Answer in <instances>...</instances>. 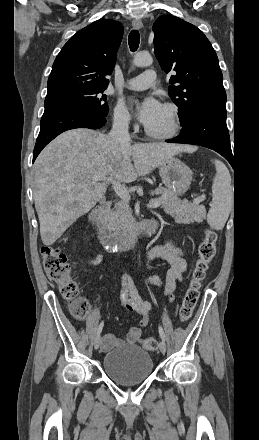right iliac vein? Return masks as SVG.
<instances>
[{
    "instance_id": "1",
    "label": "right iliac vein",
    "mask_w": 259,
    "mask_h": 440,
    "mask_svg": "<svg viewBox=\"0 0 259 440\" xmlns=\"http://www.w3.org/2000/svg\"><path fill=\"white\" fill-rule=\"evenodd\" d=\"M101 343V337L100 335H97L94 339V348L97 350Z\"/></svg>"
}]
</instances>
